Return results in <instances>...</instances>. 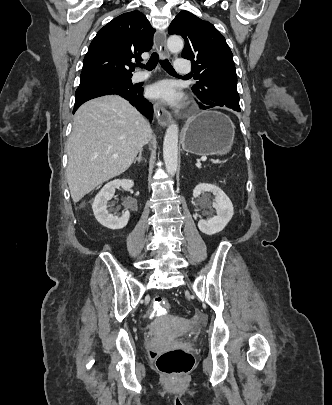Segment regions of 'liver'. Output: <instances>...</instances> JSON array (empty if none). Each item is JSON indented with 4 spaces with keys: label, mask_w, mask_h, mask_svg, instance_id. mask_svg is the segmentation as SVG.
Segmentation results:
<instances>
[{
    "label": "liver",
    "mask_w": 332,
    "mask_h": 405,
    "mask_svg": "<svg viewBox=\"0 0 332 405\" xmlns=\"http://www.w3.org/2000/svg\"><path fill=\"white\" fill-rule=\"evenodd\" d=\"M151 137L144 117L125 99L107 95L84 103L75 113L67 144L66 178L73 202L125 172Z\"/></svg>",
    "instance_id": "1"
}]
</instances>
